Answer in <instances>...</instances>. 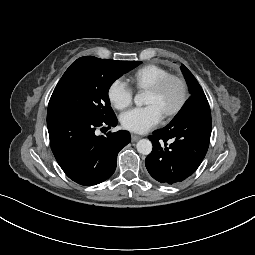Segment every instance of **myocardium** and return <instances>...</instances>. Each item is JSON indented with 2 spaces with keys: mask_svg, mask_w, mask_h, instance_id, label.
I'll use <instances>...</instances> for the list:
<instances>
[{
  "mask_svg": "<svg viewBox=\"0 0 255 255\" xmlns=\"http://www.w3.org/2000/svg\"><path fill=\"white\" fill-rule=\"evenodd\" d=\"M172 81H176L179 84L181 89V95L177 104L172 109L164 113L165 117L175 116L176 114L180 112V110L185 105L188 98V85L185 79L179 75L169 74L163 77L162 79H160L158 82H156L154 85H152L151 87L147 89V91H150L153 93H159L167 86V84H169Z\"/></svg>",
  "mask_w": 255,
  "mask_h": 255,
  "instance_id": "obj_1",
  "label": "myocardium"
}]
</instances>
